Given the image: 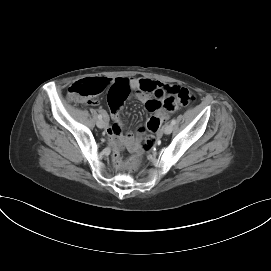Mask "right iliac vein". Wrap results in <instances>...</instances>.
Segmentation results:
<instances>
[{
    "instance_id": "right-iliac-vein-1",
    "label": "right iliac vein",
    "mask_w": 271,
    "mask_h": 271,
    "mask_svg": "<svg viewBox=\"0 0 271 271\" xmlns=\"http://www.w3.org/2000/svg\"><path fill=\"white\" fill-rule=\"evenodd\" d=\"M105 125H106V123H105V121L104 120H102V119H99L98 121H97V127L98 128H104L105 127Z\"/></svg>"
}]
</instances>
